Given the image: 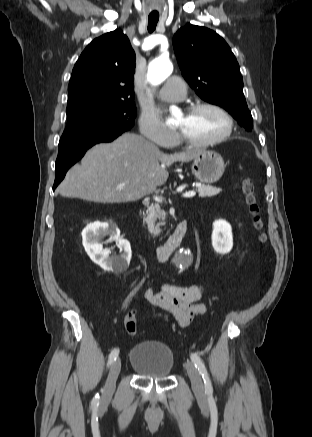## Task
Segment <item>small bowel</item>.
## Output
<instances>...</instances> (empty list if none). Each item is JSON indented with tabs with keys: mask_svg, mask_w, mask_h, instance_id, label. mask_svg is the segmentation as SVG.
<instances>
[{
	"mask_svg": "<svg viewBox=\"0 0 312 437\" xmlns=\"http://www.w3.org/2000/svg\"><path fill=\"white\" fill-rule=\"evenodd\" d=\"M202 295L200 286L166 283L154 285L144 293L148 303L166 311L181 327L190 326L196 316L206 311V306L199 302Z\"/></svg>",
	"mask_w": 312,
	"mask_h": 437,
	"instance_id": "obj_1",
	"label": "small bowel"
}]
</instances>
